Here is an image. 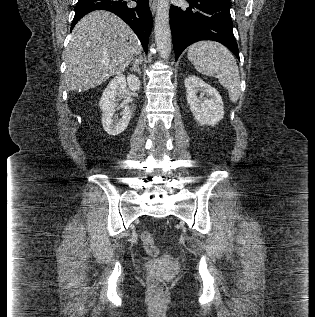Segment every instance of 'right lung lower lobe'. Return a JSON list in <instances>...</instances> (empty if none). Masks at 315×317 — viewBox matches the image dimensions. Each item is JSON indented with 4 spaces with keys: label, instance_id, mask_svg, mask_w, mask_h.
Returning a JSON list of instances; mask_svg holds the SVG:
<instances>
[{
    "label": "right lung lower lobe",
    "instance_id": "98d812e1",
    "mask_svg": "<svg viewBox=\"0 0 315 317\" xmlns=\"http://www.w3.org/2000/svg\"><path fill=\"white\" fill-rule=\"evenodd\" d=\"M137 2L136 7L129 6ZM108 10L122 18L136 33L145 52L152 29V15L148 0H78L71 28L86 14L94 10Z\"/></svg>",
    "mask_w": 315,
    "mask_h": 317
}]
</instances>
